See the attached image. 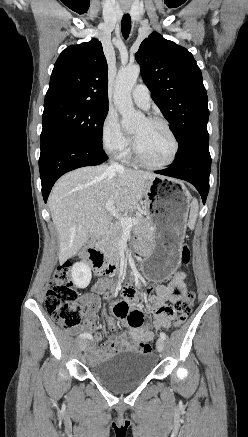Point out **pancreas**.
<instances>
[{"label":"pancreas","mask_w":248,"mask_h":437,"mask_svg":"<svg viewBox=\"0 0 248 437\" xmlns=\"http://www.w3.org/2000/svg\"><path fill=\"white\" fill-rule=\"evenodd\" d=\"M137 218L139 219V222L134 226V230L140 233L142 237L149 240L152 236L150 222L143 216H138ZM123 231L124 228L120 223H117L103 244L105 252L111 260H115L118 257L119 241L122 237Z\"/></svg>","instance_id":"obj_1"}]
</instances>
